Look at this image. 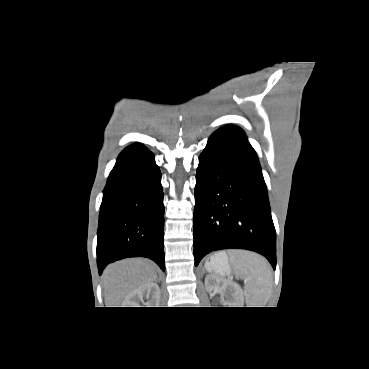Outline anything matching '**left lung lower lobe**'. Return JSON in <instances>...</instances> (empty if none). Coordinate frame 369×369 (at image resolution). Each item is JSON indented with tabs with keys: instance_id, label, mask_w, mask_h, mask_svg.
<instances>
[{
	"instance_id": "obj_1",
	"label": "left lung lower lobe",
	"mask_w": 369,
	"mask_h": 369,
	"mask_svg": "<svg viewBox=\"0 0 369 369\" xmlns=\"http://www.w3.org/2000/svg\"><path fill=\"white\" fill-rule=\"evenodd\" d=\"M194 258L240 248L276 268V234L255 150L239 127L214 132L199 156L194 208Z\"/></svg>"
}]
</instances>
